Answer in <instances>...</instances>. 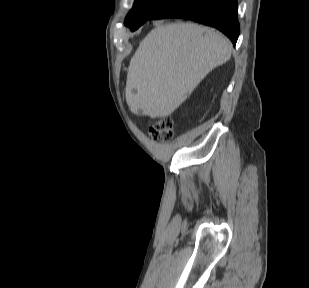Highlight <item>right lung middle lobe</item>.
I'll return each instance as SVG.
<instances>
[{"instance_id": "obj_1", "label": "right lung middle lobe", "mask_w": 309, "mask_h": 288, "mask_svg": "<svg viewBox=\"0 0 309 288\" xmlns=\"http://www.w3.org/2000/svg\"><path fill=\"white\" fill-rule=\"evenodd\" d=\"M174 0H135L133 9L125 19V25L132 31L136 30L156 12Z\"/></svg>"}]
</instances>
